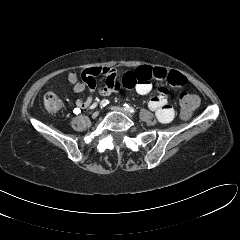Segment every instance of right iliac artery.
<instances>
[{
  "label": "right iliac artery",
  "mask_w": 240,
  "mask_h": 240,
  "mask_svg": "<svg viewBox=\"0 0 240 240\" xmlns=\"http://www.w3.org/2000/svg\"><path fill=\"white\" fill-rule=\"evenodd\" d=\"M108 104H109V101H108L107 99H104V100L101 101L100 107H101V108H102V107H105V106L108 105Z\"/></svg>",
  "instance_id": "obj_1"
}]
</instances>
